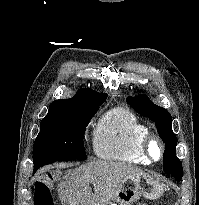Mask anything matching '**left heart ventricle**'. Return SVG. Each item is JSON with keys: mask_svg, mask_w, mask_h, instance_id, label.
<instances>
[{"mask_svg": "<svg viewBox=\"0 0 199 205\" xmlns=\"http://www.w3.org/2000/svg\"><path fill=\"white\" fill-rule=\"evenodd\" d=\"M153 155L155 158L158 157V150L156 148L153 149Z\"/></svg>", "mask_w": 199, "mask_h": 205, "instance_id": "1", "label": "left heart ventricle"}]
</instances>
